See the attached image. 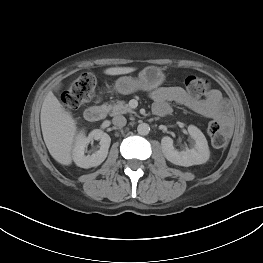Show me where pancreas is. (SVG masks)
I'll list each match as a JSON object with an SVG mask.
<instances>
[{"label":"pancreas","mask_w":263,"mask_h":263,"mask_svg":"<svg viewBox=\"0 0 263 263\" xmlns=\"http://www.w3.org/2000/svg\"><path fill=\"white\" fill-rule=\"evenodd\" d=\"M103 106L109 112L110 116H114L118 114L134 113L132 108L124 101L117 100L113 104H109V105L104 104Z\"/></svg>","instance_id":"cf45deb5"}]
</instances>
